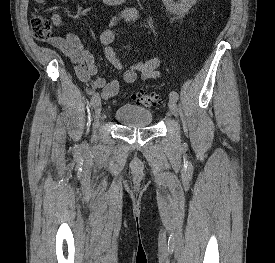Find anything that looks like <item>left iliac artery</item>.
I'll list each match as a JSON object with an SVG mask.
<instances>
[{
  "mask_svg": "<svg viewBox=\"0 0 275 263\" xmlns=\"http://www.w3.org/2000/svg\"><path fill=\"white\" fill-rule=\"evenodd\" d=\"M170 99H172V100H174V101H178V99H179V95H178V93L177 92H175V91H172V92H170Z\"/></svg>",
  "mask_w": 275,
  "mask_h": 263,
  "instance_id": "obj_1",
  "label": "left iliac artery"
}]
</instances>
